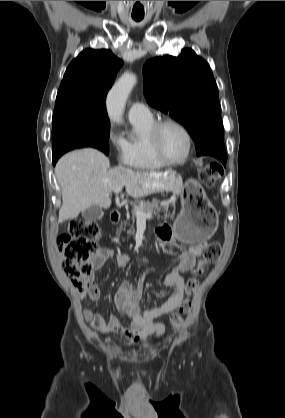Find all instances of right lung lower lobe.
Masks as SVG:
<instances>
[{"label": "right lung lower lobe", "instance_id": "1", "mask_svg": "<svg viewBox=\"0 0 285 418\" xmlns=\"http://www.w3.org/2000/svg\"><path fill=\"white\" fill-rule=\"evenodd\" d=\"M59 159V157H57V158H55V159H53V164L55 165L56 164V162H57V160Z\"/></svg>", "mask_w": 285, "mask_h": 418}]
</instances>
